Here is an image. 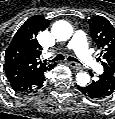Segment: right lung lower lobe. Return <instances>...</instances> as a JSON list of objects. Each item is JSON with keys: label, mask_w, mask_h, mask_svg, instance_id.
Instances as JSON below:
<instances>
[{"label": "right lung lower lobe", "mask_w": 115, "mask_h": 119, "mask_svg": "<svg viewBox=\"0 0 115 119\" xmlns=\"http://www.w3.org/2000/svg\"><path fill=\"white\" fill-rule=\"evenodd\" d=\"M53 67L48 68L44 71L37 72L20 82L11 84V86L15 91L22 94L35 93L43 86V83L45 81V72L50 71Z\"/></svg>", "instance_id": "obj_1"}]
</instances>
